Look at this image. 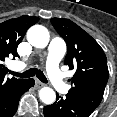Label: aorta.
I'll return each instance as SVG.
<instances>
[{
	"label": "aorta",
	"mask_w": 117,
	"mask_h": 117,
	"mask_svg": "<svg viewBox=\"0 0 117 117\" xmlns=\"http://www.w3.org/2000/svg\"><path fill=\"white\" fill-rule=\"evenodd\" d=\"M49 32L42 25H34L27 31L28 42L36 48H45L49 43ZM41 101L47 105L54 103L56 94L50 87H43L39 91Z\"/></svg>",
	"instance_id": "aorta-1"
}]
</instances>
